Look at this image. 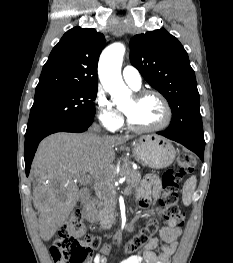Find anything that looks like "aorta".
<instances>
[{
  "label": "aorta",
  "instance_id": "obj_1",
  "mask_svg": "<svg viewBox=\"0 0 233 263\" xmlns=\"http://www.w3.org/2000/svg\"><path fill=\"white\" fill-rule=\"evenodd\" d=\"M125 47L121 43H113L102 53L99 61V78L104 89L110 93L117 104L130 99V90L121 76V66Z\"/></svg>",
  "mask_w": 233,
  "mask_h": 263
}]
</instances>
